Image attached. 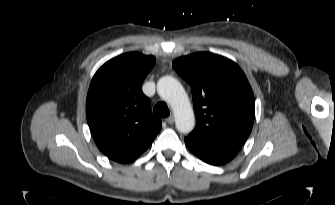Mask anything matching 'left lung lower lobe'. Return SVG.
Instances as JSON below:
<instances>
[{
	"label": "left lung lower lobe",
	"mask_w": 335,
	"mask_h": 205,
	"mask_svg": "<svg viewBox=\"0 0 335 205\" xmlns=\"http://www.w3.org/2000/svg\"><path fill=\"white\" fill-rule=\"evenodd\" d=\"M185 143L196 156L211 165H223L232 160L238 152L237 149L214 147L191 137H186Z\"/></svg>",
	"instance_id": "1"
}]
</instances>
